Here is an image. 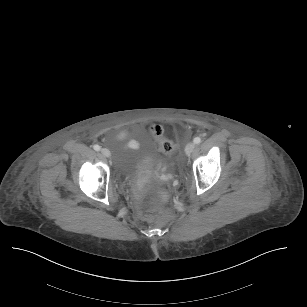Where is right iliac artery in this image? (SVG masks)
<instances>
[{"label":"right iliac artery","instance_id":"82829eb1","mask_svg":"<svg viewBox=\"0 0 307 307\" xmlns=\"http://www.w3.org/2000/svg\"><path fill=\"white\" fill-rule=\"evenodd\" d=\"M93 148H94V150H96V151H99V150L101 149V147H100L99 145H97V144L94 145Z\"/></svg>","mask_w":307,"mask_h":307}]
</instances>
